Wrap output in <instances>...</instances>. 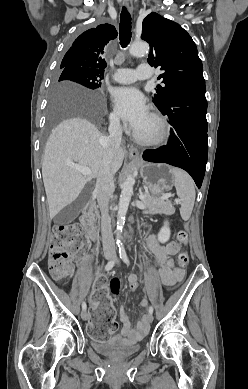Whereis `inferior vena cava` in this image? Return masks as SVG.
Listing matches in <instances>:
<instances>
[{"mask_svg":"<svg viewBox=\"0 0 248 389\" xmlns=\"http://www.w3.org/2000/svg\"><path fill=\"white\" fill-rule=\"evenodd\" d=\"M109 136L103 141L104 158L103 164L97 175V182L94 195L101 210V234L103 250L115 253V242L111 229V219L108 215V204L110 196L114 191L113 173L111 170V161L117 151L120 149L122 140V128L117 117H112L109 124Z\"/></svg>","mask_w":248,"mask_h":389,"instance_id":"inferior-vena-cava-1","label":"inferior vena cava"}]
</instances>
